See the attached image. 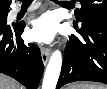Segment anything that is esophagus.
I'll return each instance as SVG.
<instances>
[{
	"mask_svg": "<svg viewBox=\"0 0 107 89\" xmlns=\"http://www.w3.org/2000/svg\"><path fill=\"white\" fill-rule=\"evenodd\" d=\"M50 55H51V49L43 46L41 48V56H42V62L44 65L47 64V62L50 58Z\"/></svg>",
	"mask_w": 107,
	"mask_h": 89,
	"instance_id": "esophagus-1",
	"label": "esophagus"
}]
</instances>
